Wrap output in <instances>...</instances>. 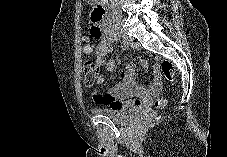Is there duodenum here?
I'll use <instances>...</instances> for the list:
<instances>
[{
	"label": "duodenum",
	"mask_w": 227,
	"mask_h": 157,
	"mask_svg": "<svg viewBox=\"0 0 227 157\" xmlns=\"http://www.w3.org/2000/svg\"><path fill=\"white\" fill-rule=\"evenodd\" d=\"M108 8V0H101L98 4H94V10L97 16H89V21H92V25H95V27H91V32H111L110 25L105 20Z\"/></svg>",
	"instance_id": "obj_1"
}]
</instances>
